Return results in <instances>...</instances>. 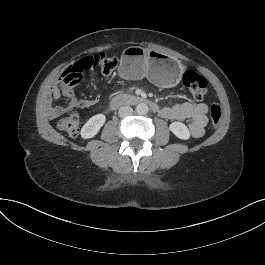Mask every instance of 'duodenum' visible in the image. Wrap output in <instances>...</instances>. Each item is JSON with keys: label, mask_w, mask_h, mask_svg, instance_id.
<instances>
[{"label": "duodenum", "mask_w": 265, "mask_h": 265, "mask_svg": "<svg viewBox=\"0 0 265 265\" xmlns=\"http://www.w3.org/2000/svg\"><path fill=\"white\" fill-rule=\"evenodd\" d=\"M139 104H145L147 106H149L154 112H161V108H159L158 104L148 100V99H144L142 97L139 96H134V95H120L115 97L112 101H111V107L112 108H118L120 106H124V105H139Z\"/></svg>", "instance_id": "1"}]
</instances>
